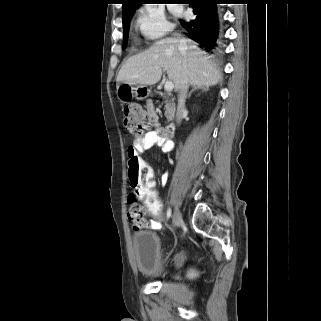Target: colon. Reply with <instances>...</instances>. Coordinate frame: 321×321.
Instances as JSON below:
<instances>
[{
	"instance_id": "obj_1",
	"label": "colon",
	"mask_w": 321,
	"mask_h": 321,
	"mask_svg": "<svg viewBox=\"0 0 321 321\" xmlns=\"http://www.w3.org/2000/svg\"><path fill=\"white\" fill-rule=\"evenodd\" d=\"M155 116L145 111L136 103H129L124 107V125L132 135L146 131L154 122ZM129 181L133 192L129 195L128 219L134 228H141L145 224L144 210L147 216H153L154 222L162 221V212L166 206L162 205L159 191H155L156 182L152 180L149 166L137 155L131 154L128 159ZM143 198V207L137 203Z\"/></svg>"
}]
</instances>
